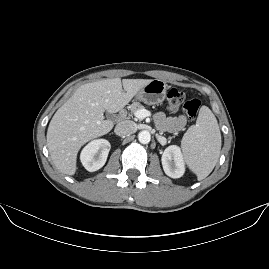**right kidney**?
I'll list each match as a JSON object with an SVG mask.
<instances>
[{"mask_svg":"<svg viewBox=\"0 0 269 269\" xmlns=\"http://www.w3.org/2000/svg\"><path fill=\"white\" fill-rule=\"evenodd\" d=\"M111 149L109 141L97 139L88 143L81 151L80 160L84 168L94 172L102 168Z\"/></svg>","mask_w":269,"mask_h":269,"instance_id":"ca27d5eb","label":"right kidney"}]
</instances>
